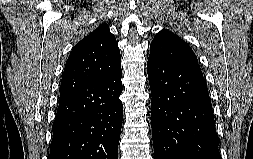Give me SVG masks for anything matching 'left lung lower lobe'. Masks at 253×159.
I'll use <instances>...</instances> for the list:
<instances>
[{
    "instance_id": "1",
    "label": "left lung lower lobe",
    "mask_w": 253,
    "mask_h": 159,
    "mask_svg": "<svg viewBox=\"0 0 253 159\" xmlns=\"http://www.w3.org/2000/svg\"><path fill=\"white\" fill-rule=\"evenodd\" d=\"M155 159H222L198 64L148 58Z\"/></svg>"
}]
</instances>
